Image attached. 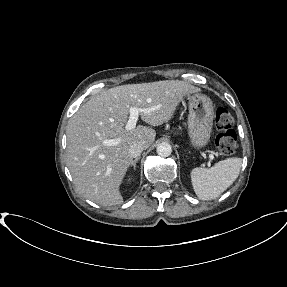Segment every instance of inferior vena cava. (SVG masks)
Segmentation results:
<instances>
[{"label":"inferior vena cava","instance_id":"obj_1","mask_svg":"<svg viewBox=\"0 0 287 287\" xmlns=\"http://www.w3.org/2000/svg\"><path fill=\"white\" fill-rule=\"evenodd\" d=\"M145 149V146L142 143H134L129 148V154L133 158H137L141 155L142 151Z\"/></svg>","mask_w":287,"mask_h":287}]
</instances>
